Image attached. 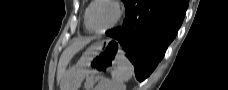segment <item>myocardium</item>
<instances>
[{
  "instance_id": "1",
  "label": "myocardium",
  "mask_w": 228,
  "mask_h": 90,
  "mask_svg": "<svg viewBox=\"0 0 228 90\" xmlns=\"http://www.w3.org/2000/svg\"><path fill=\"white\" fill-rule=\"evenodd\" d=\"M100 2H105V3L112 5L115 9V17H114L113 21L107 27H105L104 29H101V30H96L90 24V12H91V9L93 8V6L97 3H100ZM122 14H123L122 7L120 6L118 1H115V0H94L90 3L89 7L87 8V11L85 14V24H86L87 29L90 32H93L96 34H102V33H105L106 31L112 29L114 26H116L118 24V22L121 20Z\"/></svg>"
}]
</instances>
